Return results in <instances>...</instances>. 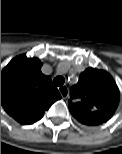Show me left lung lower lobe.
Returning <instances> with one entry per match:
<instances>
[{
    "instance_id": "0a47b994",
    "label": "left lung lower lobe",
    "mask_w": 122,
    "mask_h": 154,
    "mask_svg": "<svg viewBox=\"0 0 122 154\" xmlns=\"http://www.w3.org/2000/svg\"><path fill=\"white\" fill-rule=\"evenodd\" d=\"M104 113H105V115H104L102 118H100V119L98 120V121L101 122V123L106 122V121H107L109 118H111V116L114 114V113L109 112V111H105ZM101 123H97V124H95V125H99V124H101ZM88 126H93V125H88Z\"/></svg>"
}]
</instances>
